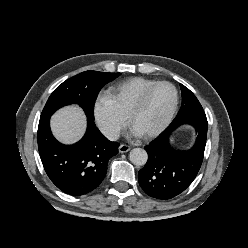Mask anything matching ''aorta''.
I'll list each match as a JSON object with an SVG mask.
<instances>
[{
	"label": "aorta",
	"instance_id": "aorta-1",
	"mask_svg": "<svg viewBox=\"0 0 248 248\" xmlns=\"http://www.w3.org/2000/svg\"><path fill=\"white\" fill-rule=\"evenodd\" d=\"M130 161L136 166H142L146 164L148 155L147 152L142 148H134L129 153Z\"/></svg>",
	"mask_w": 248,
	"mask_h": 248
}]
</instances>
